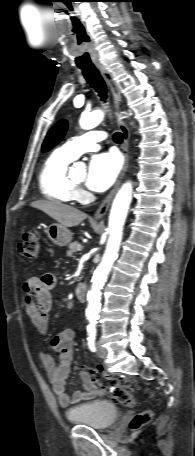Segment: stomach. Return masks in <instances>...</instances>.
<instances>
[{"label":"stomach","instance_id":"stomach-1","mask_svg":"<svg viewBox=\"0 0 195 456\" xmlns=\"http://www.w3.org/2000/svg\"><path fill=\"white\" fill-rule=\"evenodd\" d=\"M46 233L48 238L57 246H66L72 240V233L58 223L49 225Z\"/></svg>","mask_w":195,"mask_h":456}]
</instances>
